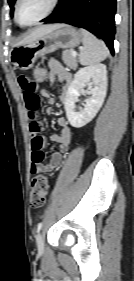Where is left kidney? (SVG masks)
Listing matches in <instances>:
<instances>
[{
    "label": "left kidney",
    "instance_id": "1",
    "mask_svg": "<svg viewBox=\"0 0 134 281\" xmlns=\"http://www.w3.org/2000/svg\"><path fill=\"white\" fill-rule=\"evenodd\" d=\"M85 85H88V89L83 91ZM106 91L107 71L104 64L79 69L68 87L64 100L66 116L71 126L81 128L92 121L102 107ZM81 92L89 94L90 97L85 100L84 108L79 107L77 112L75 103Z\"/></svg>",
    "mask_w": 134,
    "mask_h": 281
}]
</instances>
